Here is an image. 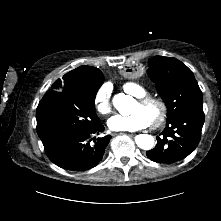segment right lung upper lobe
I'll use <instances>...</instances> for the list:
<instances>
[{
    "label": "right lung upper lobe",
    "instance_id": "obj_1",
    "mask_svg": "<svg viewBox=\"0 0 221 221\" xmlns=\"http://www.w3.org/2000/svg\"><path fill=\"white\" fill-rule=\"evenodd\" d=\"M100 77H103V75L98 68L81 66L65 74L63 80H56L52 87L56 89L60 88L61 91L67 92L73 88L84 87L90 81Z\"/></svg>",
    "mask_w": 221,
    "mask_h": 221
}]
</instances>
